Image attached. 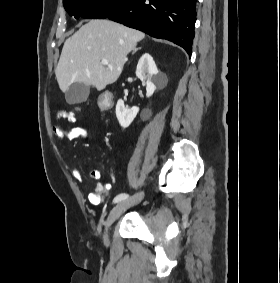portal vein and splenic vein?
<instances>
[{"label":"portal vein and splenic vein","instance_id":"obj_1","mask_svg":"<svg viewBox=\"0 0 280 283\" xmlns=\"http://www.w3.org/2000/svg\"><path fill=\"white\" fill-rule=\"evenodd\" d=\"M101 63H102L103 65H106V66H108V67H111V65L109 64V62H108L107 60H102Z\"/></svg>","mask_w":280,"mask_h":283}]
</instances>
